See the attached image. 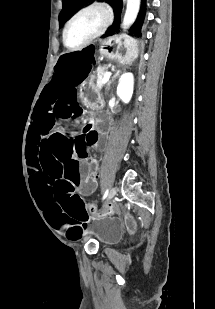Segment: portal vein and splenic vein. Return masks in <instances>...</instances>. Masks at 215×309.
I'll return each instance as SVG.
<instances>
[{
  "label": "portal vein and splenic vein",
  "instance_id": "portal-vein-and-splenic-vein-1",
  "mask_svg": "<svg viewBox=\"0 0 215 309\" xmlns=\"http://www.w3.org/2000/svg\"><path fill=\"white\" fill-rule=\"evenodd\" d=\"M111 74H112V72H106V74H104L101 82H107V80H109Z\"/></svg>",
  "mask_w": 215,
  "mask_h": 309
}]
</instances>
